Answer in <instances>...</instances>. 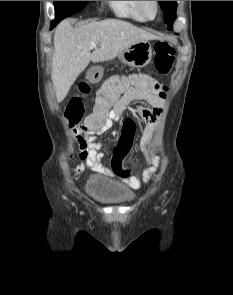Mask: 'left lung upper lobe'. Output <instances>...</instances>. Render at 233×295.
<instances>
[{
    "label": "left lung upper lobe",
    "mask_w": 233,
    "mask_h": 295,
    "mask_svg": "<svg viewBox=\"0 0 233 295\" xmlns=\"http://www.w3.org/2000/svg\"><path fill=\"white\" fill-rule=\"evenodd\" d=\"M161 9L164 12V22L167 23L168 29H172L173 21L176 19V1H159Z\"/></svg>",
    "instance_id": "1"
}]
</instances>
